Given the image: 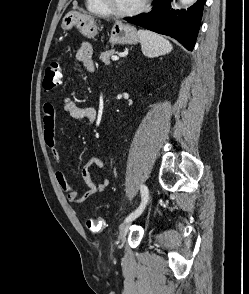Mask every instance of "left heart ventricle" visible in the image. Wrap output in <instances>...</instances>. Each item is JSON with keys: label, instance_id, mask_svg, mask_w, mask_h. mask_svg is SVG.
<instances>
[{"label": "left heart ventricle", "instance_id": "b2bd125f", "mask_svg": "<svg viewBox=\"0 0 249 294\" xmlns=\"http://www.w3.org/2000/svg\"><path fill=\"white\" fill-rule=\"evenodd\" d=\"M110 5L120 11H126L137 7L142 0H108Z\"/></svg>", "mask_w": 249, "mask_h": 294}]
</instances>
